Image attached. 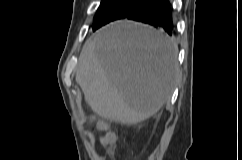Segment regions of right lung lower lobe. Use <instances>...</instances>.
Segmentation results:
<instances>
[{"mask_svg":"<svg viewBox=\"0 0 242 160\" xmlns=\"http://www.w3.org/2000/svg\"><path fill=\"white\" fill-rule=\"evenodd\" d=\"M124 18L162 28L169 35L173 33L171 7L168 0H148Z\"/></svg>","mask_w":242,"mask_h":160,"instance_id":"right-lung-lower-lobe-1","label":"right lung lower lobe"}]
</instances>
